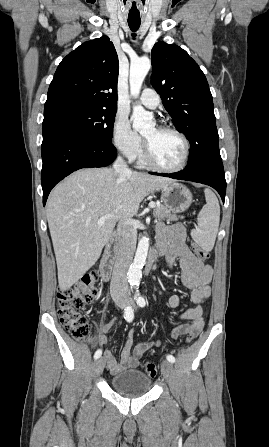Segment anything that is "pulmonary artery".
Masks as SVG:
<instances>
[{
    "instance_id": "e3ab8cb5",
    "label": "pulmonary artery",
    "mask_w": 269,
    "mask_h": 447,
    "mask_svg": "<svg viewBox=\"0 0 269 447\" xmlns=\"http://www.w3.org/2000/svg\"><path fill=\"white\" fill-rule=\"evenodd\" d=\"M140 102L146 108L155 110L160 104V96L152 89H144L140 96Z\"/></svg>"
}]
</instances>
